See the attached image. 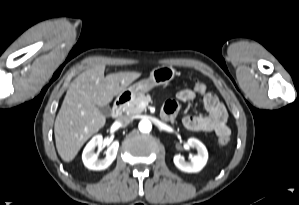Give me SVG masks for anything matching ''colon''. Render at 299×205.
<instances>
[{"label":"colon","instance_id":"1","mask_svg":"<svg viewBox=\"0 0 299 205\" xmlns=\"http://www.w3.org/2000/svg\"><path fill=\"white\" fill-rule=\"evenodd\" d=\"M206 85L198 80H196L194 82V91L197 92L198 94L200 95H204L206 93ZM230 141V136L229 134H224V135H221L219 136L218 138V144L220 146H225L229 143Z\"/></svg>","mask_w":299,"mask_h":205}]
</instances>
